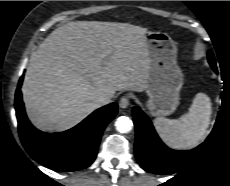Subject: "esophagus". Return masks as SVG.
Returning <instances> with one entry per match:
<instances>
[{
	"label": "esophagus",
	"mask_w": 230,
	"mask_h": 186,
	"mask_svg": "<svg viewBox=\"0 0 230 186\" xmlns=\"http://www.w3.org/2000/svg\"><path fill=\"white\" fill-rule=\"evenodd\" d=\"M129 97L128 96H123L120 101H119V106L123 109L127 108L129 105Z\"/></svg>",
	"instance_id": "1"
}]
</instances>
